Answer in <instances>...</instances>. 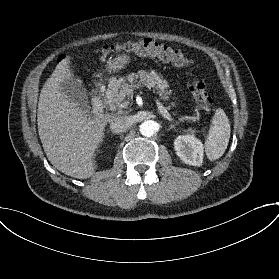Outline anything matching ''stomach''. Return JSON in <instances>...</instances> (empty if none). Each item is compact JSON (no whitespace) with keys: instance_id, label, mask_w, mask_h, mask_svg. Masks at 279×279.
<instances>
[{"instance_id":"stomach-1","label":"stomach","mask_w":279,"mask_h":279,"mask_svg":"<svg viewBox=\"0 0 279 279\" xmlns=\"http://www.w3.org/2000/svg\"><path fill=\"white\" fill-rule=\"evenodd\" d=\"M131 58L128 54L123 53L116 56L112 61L107 64V71L109 73H115L125 68V66L130 63ZM175 102L172 103V106H175Z\"/></svg>"}]
</instances>
